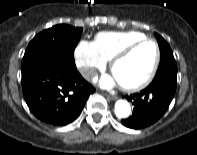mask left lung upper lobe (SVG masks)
Listing matches in <instances>:
<instances>
[{
	"label": "left lung upper lobe",
	"instance_id": "obj_1",
	"mask_svg": "<svg viewBox=\"0 0 197 155\" xmlns=\"http://www.w3.org/2000/svg\"><path fill=\"white\" fill-rule=\"evenodd\" d=\"M155 36L161 53L160 65L155 78L171 77L177 79V65L169 44L157 33Z\"/></svg>",
	"mask_w": 197,
	"mask_h": 155
}]
</instances>
